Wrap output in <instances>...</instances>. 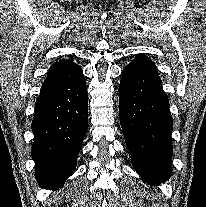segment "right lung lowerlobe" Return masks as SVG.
<instances>
[{"instance_id": "obj_1", "label": "right lung lower lobe", "mask_w": 206, "mask_h": 207, "mask_svg": "<svg viewBox=\"0 0 206 207\" xmlns=\"http://www.w3.org/2000/svg\"><path fill=\"white\" fill-rule=\"evenodd\" d=\"M88 125L87 87L70 60L53 64L35 103L31 155L40 187L57 189L76 168Z\"/></svg>"}]
</instances>
